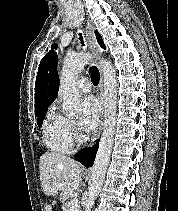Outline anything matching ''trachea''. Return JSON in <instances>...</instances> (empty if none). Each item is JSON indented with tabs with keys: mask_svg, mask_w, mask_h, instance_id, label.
<instances>
[{
	"mask_svg": "<svg viewBox=\"0 0 178 211\" xmlns=\"http://www.w3.org/2000/svg\"><path fill=\"white\" fill-rule=\"evenodd\" d=\"M79 40H80V43L82 44V46H85L84 39H83V36L81 33H79ZM90 74H91V79H92L93 84L95 86L98 85L100 75H99L98 69L95 66H92L90 68Z\"/></svg>",
	"mask_w": 178,
	"mask_h": 211,
	"instance_id": "3493384b",
	"label": "trachea"
}]
</instances>
